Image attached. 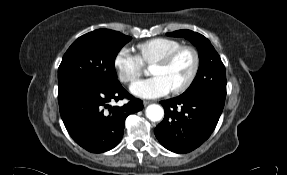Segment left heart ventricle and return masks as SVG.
<instances>
[{"label": "left heart ventricle", "mask_w": 287, "mask_h": 175, "mask_svg": "<svg viewBox=\"0 0 287 175\" xmlns=\"http://www.w3.org/2000/svg\"><path fill=\"white\" fill-rule=\"evenodd\" d=\"M192 68L193 56L190 52L184 51L168 65H153L151 74L165 78L173 90L185 82Z\"/></svg>", "instance_id": "b2bd125f"}]
</instances>
